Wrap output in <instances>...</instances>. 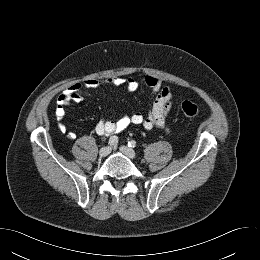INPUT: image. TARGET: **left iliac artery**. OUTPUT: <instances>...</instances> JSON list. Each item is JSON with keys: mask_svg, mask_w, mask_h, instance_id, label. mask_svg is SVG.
<instances>
[{"mask_svg": "<svg viewBox=\"0 0 260 260\" xmlns=\"http://www.w3.org/2000/svg\"><path fill=\"white\" fill-rule=\"evenodd\" d=\"M128 146L134 148L136 146V142L134 140H131L128 142Z\"/></svg>", "mask_w": 260, "mask_h": 260, "instance_id": "44dca946", "label": "left iliac artery"}]
</instances>
